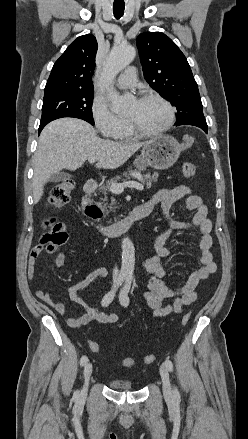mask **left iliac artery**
<instances>
[{"mask_svg": "<svg viewBox=\"0 0 248 439\" xmlns=\"http://www.w3.org/2000/svg\"><path fill=\"white\" fill-rule=\"evenodd\" d=\"M131 281H132V275L129 274V275L126 276V282H125L123 288L121 289V292H120V295H119L120 303L123 306H125V307H127L129 305L128 293H129V290H130ZM164 364H165L166 368L170 372L173 371V364H172V362L169 359H166ZM174 395L176 397L179 396V392H178V390L176 388L174 389Z\"/></svg>", "mask_w": 248, "mask_h": 439, "instance_id": "44dca946", "label": "left iliac artery"}]
</instances>
